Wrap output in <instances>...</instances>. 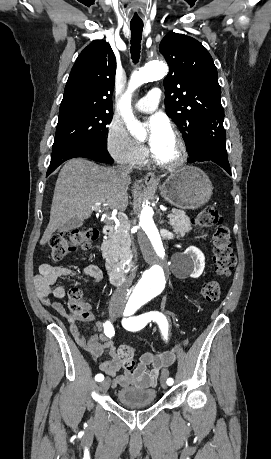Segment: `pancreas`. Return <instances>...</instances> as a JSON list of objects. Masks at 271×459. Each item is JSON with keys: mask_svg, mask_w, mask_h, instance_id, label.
I'll use <instances>...</instances> for the list:
<instances>
[{"mask_svg": "<svg viewBox=\"0 0 271 459\" xmlns=\"http://www.w3.org/2000/svg\"><path fill=\"white\" fill-rule=\"evenodd\" d=\"M174 217H170V224L173 228L174 233H178V237L185 235L187 231H190L191 222L188 216H185L183 210H172ZM170 215V214H169ZM120 226H118L113 233H108V239H105L101 245L103 257H116L125 256L127 249L130 245V222L125 216L118 218Z\"/></svg>", "mask_w": 271, "mask_h": 459, "instance_id": "pancreas-1", "label": "pancreas"}]
</instances>
